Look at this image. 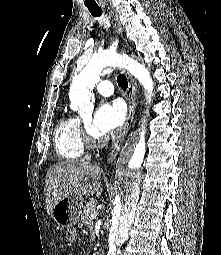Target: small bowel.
<instances>
[{
  "label": "small bowel",
  "instance_id": "c3829d8e",
  "mask_svg": "<svg viewBox=\"0 0 221 255\" xmlns=\"http://www.w3.org/2000/svg\"><path fill=\"white\" fill-rule=\"evenodd\" d=\"M66 238L70 243L77 241L78 235L75 229H69L66 233Z\"/></svg>",
  "mask_w": 221,
  "mask_h": 255
}]
</instances>
